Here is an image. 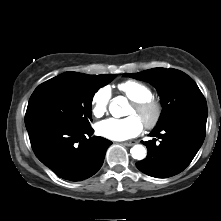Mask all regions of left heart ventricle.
Returning <instances> with one entry per match:
<instances>
[{"instance_id":"obj_1","label":"left heart ventricle","mask_w":221,"mask_h":221,"mask_svg":"<svg viewBox=\"0 0 221 221\" xmlns=\"http://www.w3.org/2000/svg\"><path fill=\"white\" fill-rule=\"evenodd\" d=\"M128 115L137 116L142 121V123L150 117L149 113H138L133 106H131Z\"/></svg>"}]
</instances>
